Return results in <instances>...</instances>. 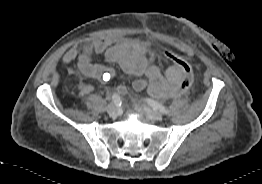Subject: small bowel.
Instances as JSON below:
<instances>
[{
	"mask_svg": "<svg viewBox=\"0 0 262 184\" xmlns=\"http://www.w3.org/2000/svg\"><path fill=\"white\" fill-rule=\"evenodd\" d=\"M94 53L104 55L108 62L117 64L129 75L144 76L134 80L133 88L136 91L147 90L158 98L174 96L182 78L181 67L175 62L169 61L171 65L162 74L155 63L158 55L150 51L146 43L131 38L103 37L82 47H73L63 55L62 62H76L82 75L107 83L115 77V70L93 64L91 56ZM92 89V85L87 82L79 84L81 96L88 95Z\"/></svg>",
	"mask_w": 262,
	"mask_h": 184,
	"instance_id": "c3829d8e",
	"label": "small bowel"
}]
</instances>
